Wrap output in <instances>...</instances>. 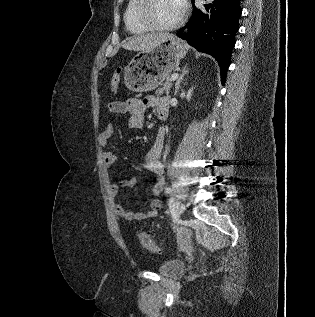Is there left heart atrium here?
Instances as JSON below:
<instances>
[{
	"label": "left heart atrium",
	"instance_id": "obj_1",
	"mask_svg": "<svg viewBox=\"0 0 315 317\" xmlns=\"http://www.w3.org/2000/svg\"><path fill=\"white\" fill-rule=\"evenodd\" d=\"M175 2L181 11L185 9V6H186L185 0H175Z\"/></svg>",
	"mask_w": 315,
	"mask_h": 317
}]
</instances>
